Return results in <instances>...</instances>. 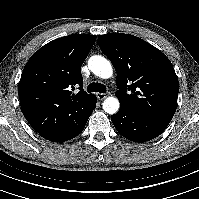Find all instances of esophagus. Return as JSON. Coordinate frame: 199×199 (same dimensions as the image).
<instances>
[{
    "label": "esophagus",
    "mask_w": 199,
    "mask_h": 199,
    "mask_svg": "<svg viewBox=\"0 0 199 199\" xmlns=\"http://www.w3.org/2000/svg\"><path fill=\"white\" fill-rule=\"evenodd\" d=\"M109 96V93H96V97L99 99V100H104L106 97Z\"/></svg>",
    "instance_id": "34e87169"
}]
</instances>
